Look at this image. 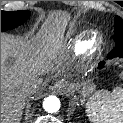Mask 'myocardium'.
Wrapping results in <instances>:
<instances>
[{"label": "myocardium", "mask_w": 123, "mask_h": 123, "mask_svg": "<svg viewBox=\"0 0 123 123\" xmlns=\"http://www.w3.org/2000/svg\"><path fill=\"white\" fill-rule=\"evenodd\" d=\"M103 42V35L99 31H90L88 35L81 40L82 54H85L86 56H93L100 50Z\"/></svg>", "instance_id": "f54148a6"}]
</instances>
